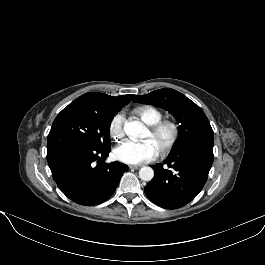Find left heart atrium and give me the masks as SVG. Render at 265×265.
I'll list each match as a JSON object with an SVG mask.
<instances>
[{"label": "left heart atrium", "instance_id": "obj_1", "mask_svg": "<svg viewBox=\"0 0 265 265\" xmlns=\"http://www.w3.org/2000/svg\"><path fill=\"white\" fill-rule=\"evenodd\" d=\"M157 154L158 150L149 140L143 142L125 140L114 150V156L116 159L128 164L151 161L156 158Z\"/></svg>", "mask_w": 265, "mask_h": 265}]
</instances>
